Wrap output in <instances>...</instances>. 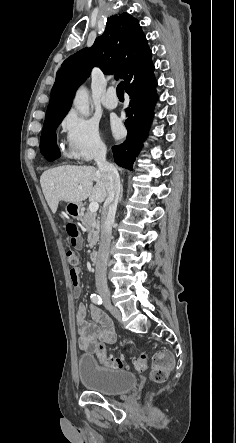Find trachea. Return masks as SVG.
<instances>
[{"instance_id":"obj_1","label":"trachea","mask_w":236,"mask_h":443,"mask_svg":"<svg viewBox=\"0 0 236 443\" xmlns=\"http://www.w3.org/2000/svg\"><path fill=\"white\" fill-rule=\"evenodd\" d=\"M117 96L118 97H124V84L123 81H121L117 86Z\"/></svg>"}]
</instances>
